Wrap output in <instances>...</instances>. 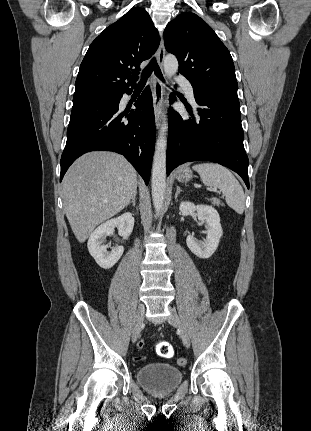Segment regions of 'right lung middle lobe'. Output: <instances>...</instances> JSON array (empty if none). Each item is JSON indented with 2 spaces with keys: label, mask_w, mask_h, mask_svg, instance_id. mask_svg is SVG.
Returning a JSON list of instances; mask_svg holds the SVG:
<instances>
[{
  "label": "right lung middle lobe",
  "mask_w": 311,
  "mask_h": 431,
  "mask_svg": "<svg viewBox=\"0 0 311 431\" xmlns=\"http://www.w3.org/2000/svg\"><path fill=\"white\" fill-rule=\"evenodd\" d=\"M117 95H118L117 93H106V94H94V95H85V96H74L73 102L86 100V99L100 98V97H112Z\"/></svg>",
  "instance_id": "obj_1"
}]
</instances>
